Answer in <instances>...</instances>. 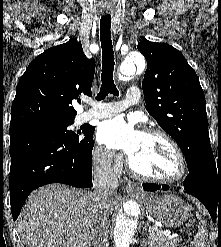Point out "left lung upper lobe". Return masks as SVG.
Returning a JSON list of instances; mask_svg holds the SVG:
<instances>
[{"mask_svg":"<svg viewBox=\"0 0 221 247\" xmlns=\"http://www.w3.org/2000/svg\"><path fill=\"white\" fill-rule=\"evenodd\" d=\"M147 60L142 89L149 114L174 138L187 164L211 149L205 95L196 72L169 44L142 40Z\"/></svg>","mask_w":221,"mask_h":247,"instance_id":"obj_1","label":"left lung upper lobe"}]
</instances>
